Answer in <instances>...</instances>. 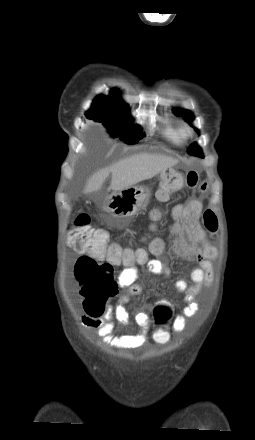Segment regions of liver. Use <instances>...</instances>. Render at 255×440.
Returning <instances> with one entry per match:
<instances>
[{
  "mask_svg": "<svg viewBox=\"0 0 255 440\" xmlns=\"http://www.w3.org/2000/svg\"><path fill=\"white\" fill-rule=\"evenodd\" d=\"M177 163V159L160 154L141 153L133 155L94 173L88 179L84 193L88 194L100 190L110 173L112 176L110 189L121 191L141 181L151 179L164 169Z\"/></svg>",
  "mask_w": 255,
  "mask_h": 440,
  "instance_id": "1",
  "label": "liver"
}]
</instances>
